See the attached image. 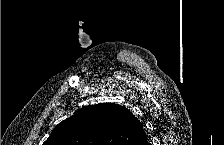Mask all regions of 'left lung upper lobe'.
Listing matches in <instances>:
<instances>
[{"mask_svg": "<svg viewBox=\"0 0 224 145\" xmlns=\"http://www.w3.org/2000/svg\"><path fill=\"white\" fill-rule=\"evenodd\" d=\"M143 133L141 122L126 107L102 103L60 122L43 145H136Z\"/></svg>", "mask_w": 224, "mask_h": 145, "instance_id": "left-lung-upper-lobe-1", "label": "left lung upper lobe"}]
</instances>
